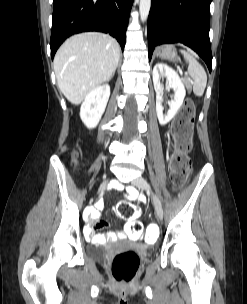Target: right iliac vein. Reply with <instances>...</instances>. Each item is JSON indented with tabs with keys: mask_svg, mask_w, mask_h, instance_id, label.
Returning a JSON list of instances; mask_svg holds the SVG:
<instances>
[{
	"mask_svg": "<svg viewBox=\"0 0 247 304\" xmlns=\"http://www.w3.org/2000/svg\"><path fill=\"white\" fill-rule=\"evenodd\" d=\"M106 186H107V181H105V182H103V183L101 184V186H100V188H99V190H98V194H99V195L102 194V193L105 191Z\"/></svg>",
	"mask_w": 247,
	"mask_h": 304,
	"instance_id": "63e3f726",
	"label": "right iliac vein"
}]
</instances>
